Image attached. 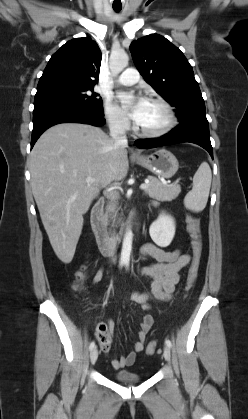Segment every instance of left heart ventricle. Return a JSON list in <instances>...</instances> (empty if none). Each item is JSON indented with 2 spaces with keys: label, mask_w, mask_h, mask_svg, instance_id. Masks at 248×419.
I'll return each instance as SVG.
<instances>
[{
  "label": "left heart ventricle",
  "mask_w": 248,
  "mask_h": 419,
  "mask_svg": "<svg viewBox=\"0 0 248 419\" xmlns=\"http://www.w3.org/2000/svg\"><path fill=\"white\" fill-rule=\"evenodd\" d=\"M166 121L164 109L159 104L148 101L144 114L137 123L140 128L151 131L161 128Z\"/></svg>",
  "instance_id": "obj_1"
}]
</instances>
